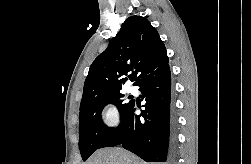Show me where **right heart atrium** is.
<instances>
[{
    "instance_id": "obj_1",
    "label": "right heart atrium",
    "mask_w": 251,
    "mask_h": 164,
    "mask_svg": "<svg viewBox=\"0 0 251 164\" xmlns=\"http://www.w3.org/2000/svg\"><path fill=\"white\" fill-rule=\"evenodd\" d=\"M101 122L106 129L113 130L121 122V116L115 105H107L101 112Z\"/></svg>"
}]
</instances>
